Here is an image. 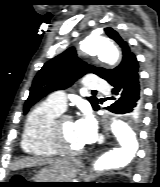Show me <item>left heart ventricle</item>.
Segmentation results:
<instances>
[{
    "label": "left heart ventricle",
    "mask_w": 160,
    "mask_h": 187,
    "mask_svg": "<svg viewBox=\"0 0 160 187\" xmlns=\"http://www.w3.org/2000/svg\"><path fill=\"white\" fill-rule=\"evenodd\" d=\"M61 131L64 138V144L68 149L78 150L84 146L78 137L72 120H63Z\"/></svg>",
    "instance_id": "b2bd125f"
}]
</instances>
